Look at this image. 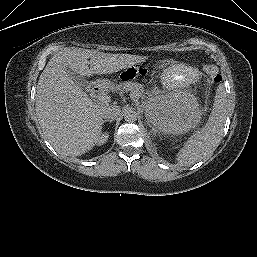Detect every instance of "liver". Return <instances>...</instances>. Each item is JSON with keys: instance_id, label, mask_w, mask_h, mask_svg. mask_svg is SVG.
<instances>
[{"instance_id": "1", "label": "liver", "mask_w": 257, "mask_h": 257, "mask_svg": "<svg viewBox=\"0 0 257 257\" xmlns=\"http://www.w3.org/2000/svg\"><path fill=\"white\" fill-rule=\"evenodd\" d=\"M141 60L137 55L74 47L64 48L49 60L38 80L36 113L45 138L58 153L77 157L91 150L100 139V109L106 105L94 103L71 79L67 68L89 77L116 73Z\"/></svg>"}]
</instances>
